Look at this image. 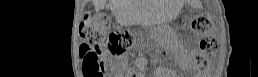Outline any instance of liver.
<instances>
[{"instance_id": "6515ba94", "label": "liver", "mask_w": 258, "mask_h": 77, "mask_svg": "<svg viewBox=\"0 0 258 77\" xmlns=\"http://www.w3.org/2000/svg\"><path fill=\"white\" fill-rule=\"evenodd\" d=\"M106 0H93L95 11L98 12L104 8ZM109 6L115 14L118 22L124 25H131L135 22V16L138 13L137 5L131 0H109Z\"/></svg>"}]
</instances>
